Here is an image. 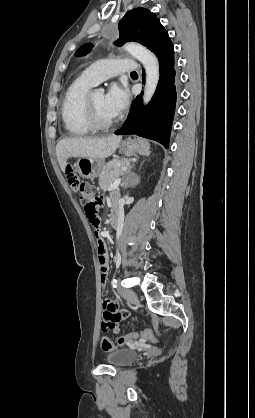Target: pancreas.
<instances>
[{"instance_id":"pancreas-1","label":"pancreas","mask_w":255,"mask_h":418,"mask_svg":"<svg viewBox=\"0 0 255 418\" xmlns=\"http://www.w3.org/2000/svg\"><path fill=\"white\" fill-rule=\"evenodd\" d=\"M131 159L114 158L109 161L99 175V185L104 191L108 190L111 184L124 173L123 168L129 166Z\"/></svg>"}]
</instances>
